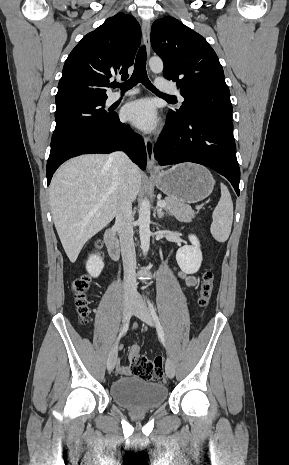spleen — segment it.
<instances>
[{
    "label": "spleen",
    "instance_id": "3e777b00",
    "mask_svg": "<svg viewBox=\"0 0 289 465\" xmlns=\"http://www.w3.org/2000/svg\"><path fill=\"white\" fill-rule=\"evenodd\" d=\"M221 197L212 214L211 234L218 242H225L231 233L233 202L228 188L221 183Z\"/></svg>",
    "mask_w": 289,
    "mask_h": 465
}]
</instances>
